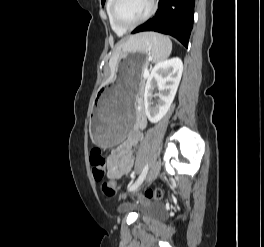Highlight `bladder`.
Listing matches in <instances>:
<instances>
[{
	"instance_id": "31cf9c89",
	"label": "bladder",
	"mask_w": 264,
	"mask_h": 247,
	"mask_svg": "<svg viewBox=\"0 0 264 247\" xmlns=\"http://www.w3.org/2000/svg\"><path fill=\"white\" fill-rule=\"evenodd\" d=\"M127 207V206H124ZM141 211L146 217H157L161 214L160 210L154 204H147L141 207Z\"/></svg>"
}]
</instances>
